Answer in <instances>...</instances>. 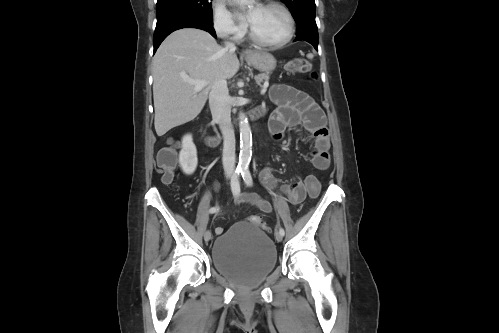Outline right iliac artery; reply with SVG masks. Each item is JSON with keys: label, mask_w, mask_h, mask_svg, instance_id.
Here are the masks:
<instances>
[{"label": "right iliac artery", "mask_w": 499, "mask_h": 333, "mask_svg": "<svg viewBox=\"0 0 499 333\" xmlns=\"http://www.w3.org/2000/svg\"><path fill=\"white\" fill-rule=\"evenodd\" d=\"M242 172V169L241 168H237L232 176V179H231V190H232V193H233V196L236 197L240 194V184H239V181H238V177H239V174ZM218 208L217 207H212L210 208L209 212L210 213H215V212H218Z\"/></svg>", "instance_id": "82829eb1"}]
</instances>
